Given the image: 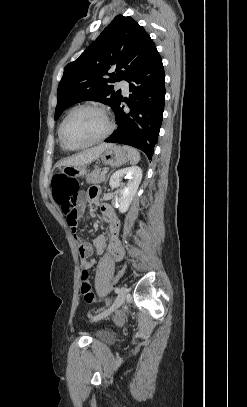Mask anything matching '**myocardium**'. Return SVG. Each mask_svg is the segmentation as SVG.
Masks as SVG:
<instances>
[{
  "instance_id": "f54148a6",
  "label": "myocardium",
  "mask_w": 247,
  "mask_h": 407,
  "mask_svg": "<svg viewBox=\"0 0 247 407\" xmlns=\"http://www.w3.org/2000/svg\"><path fill=\"white\" fill-rule=\"evenodd\" d=\"M85 109L94 110V111L99 112L104 117V119L106 120L107 128H106L105 132L100 137L96 138L95 140L90 141V142H88V143H86L84 145L78 146V147H70L65 143V141L63 139L64 126H65L67 120L74 113H76V112H78L80 110H85ZM113 130H114V123H113V121H112V119L110 117V114L108 113V111L104 107L99 106V105H95V104H83V105H79V106L73 108L64 117V119L62 120V122H61V124L59 126V129H58V138H59L60 145L64 150H66V151H78V150L85 149L87 147L93 146L95 144H98V143L104 141L113 132Z\"/></svg>"
}]
</instances>
